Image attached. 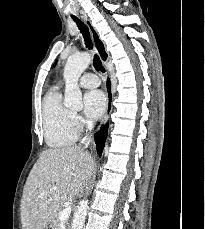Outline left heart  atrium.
<instances>
[{"mask_svg":"<svg viewBox=\"0 0 205 229\" xmlns=\"http://www.w3.org/2000/svg\"><path fill=\"white\" fill-rule=\"evenodd\" d=\"M84 112L90 118H99L107 107V100L100 90H91L84 96Z\"/></svg>","mask_w":205,"mask_h":229,"instance_id":"left-heart-atrium-1","label":"left heart atrium"}]
</instances>
